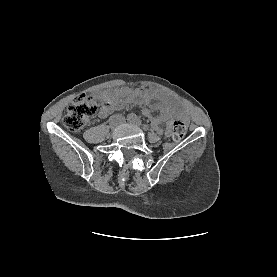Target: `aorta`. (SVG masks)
<instances>
[{
  "label": "aorta",
  "instance_id": "762f6f07",
  "mask_svg": "<svg viewBox=\"0 0 277 277\" xmlns=\"http://www.w3.org/2000/svg\"><path fill=\"white\" fill-rule=\"evenodd\" d=\"M134 117H135L134 114H130L128 118H129V120H131V119L134 118Z\"/></svg>",
  "mask_w": 277,
  "mask_h": 277
}]
</instances>
